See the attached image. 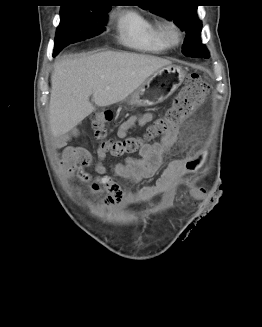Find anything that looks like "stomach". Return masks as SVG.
I'll return each instance as SVG.
<instances>
[{"instance_id":"stomach-1","label":"stomach","mask_w":262,"mask_h":327,"mask_svg":"<svg viewBox=\"0 0 262 327\" xmlns=\"http://www.w3.org/2000/svg\"><path fill=\"white\" fill-rule=\"evenodd\" d=\"M185 72L180 66L167 65L153 73L130 96L131 105L148 107L166 100L181 85Z\"/></svg>"}]
</instances>
